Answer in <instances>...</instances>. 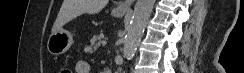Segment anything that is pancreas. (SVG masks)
I'll return each instance as SVG.
<instances>
[{
    "label": "pancreas",
    "mask_w": 244,
    "mask_h": 73,
    "mask_svg": "<svg viewBox=\"0 0 244 73\" xmlns=\"http://www.w3.org/2000/svg\"><path fill=\"white\" fill-rule=\"evenodd\" d=\"M101 39V36L94 35L90 41V44L85 47V52L94 53L100 47Z\"/></svg>",
    "instance_id": "cf45deb5"
}]
</instances>
